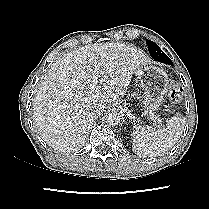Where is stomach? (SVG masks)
Returning a JSON list of instances; mask_svg holds the SVG:
<instances>
[{"label": "stomach", "mask_w": 209, "mask_h": 209, "mask_svg": "<svg viewBox=\"0 0 209 209\" xmlns=\"http://www.w3.org/2000/svg\"><path fill=\"white\" fill-rule=\"evenodd\" d=\"M135 73L143 89L145 114L160 109L169 93V78L165 71L152 65H140Z\"/></svg>", "instance_id": "obj_1"}]
</instances>
